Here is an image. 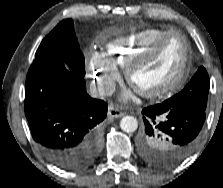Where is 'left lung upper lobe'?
<instances>
[{
  "label": "left lung upper lobe",
  "instance_id": "1",
  "mask_svg": "<svg viewBox=\"0 0 223 188\" xmlns=\"http://www.w3.org/2000/svg\"><path fill=\"white\" fill-rule=\"evenodd\" d=\"M210 80L206 69L201 66L190 82L178 94L163 102L171 107H191L202 111L206 110ZM139 152L141 157L154 165H171L169 161L172 145L166 141L161 133L145 134L139 137Z\"/></svg>",
  "mask_w": 223,
  "mask_h": 188
}]
</instances>
